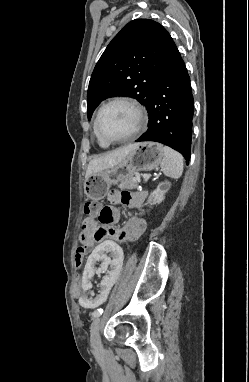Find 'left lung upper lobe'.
<instances>
[{
    "instance_id": "5c2ea615",
    "label": "left lung upper lobe",
    "mask_w": 249,
    "mask_h": 382,
    "mask_svg": "<svg viewBox=\"0 0 249 382\" xmlns=\"http://www.w3.org/2000/svg\"><path fill=\"white\" fill-rule=\"evenodd\" d=\"M176 49L161 24L149 19L129 22L94 68L87 92L88 119L104 99L114 95L134 97L147 108Z\"/></svg>"
}]
</instances>
